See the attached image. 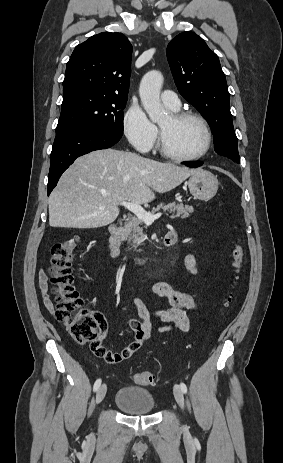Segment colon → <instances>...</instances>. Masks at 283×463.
I'll return each mask as SVG.
<instances>
[{"mask_svg":"<svg viewBox=\"0 0 283 463\" xmlns=\"http://www.w3.org/2000/svg\"><path fill=\"white\" fill-rule=\"evenodd\" d=\"M78 242L79 237L72 236L52 246L49 272L55 295L54 314L77 343L90 344L97 357L108 363H116L119 360L118 354L102 345V335L107 328L105 319L99 312L84 306L83 299L73 285L71 265ZM233 258V266L239 275L243 260L241 245H236ZM133 380L140 385H152L157 381L155 375L148 371L134 373Z\"/></svg>","mask_w":283,"mask_h":463,"instance_id":"obj_1","label":"colon"}]
</instances>
